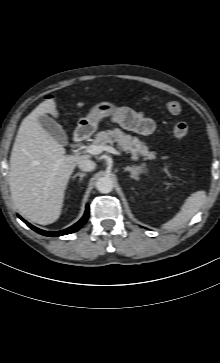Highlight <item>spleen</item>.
<instances>
[{
  "label": "spleen",
  "mask_w": 220,
  "mask_h": 363,
  "mask_svg": "<svg viewBox=\"0 0 220 363\" xmlns=\"http://www.w3.org/2000/svg\"><path fill=\"white\" fill-rule=\"evenodd\" d=\"M206 201V192L203 190L197 191L189 196L181 211L169 222L164 224L165 229H175L187 221H189L203 206Z\"/></svg>",
  "instance_id": "obj_1"
}]
</instances>
